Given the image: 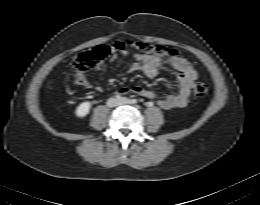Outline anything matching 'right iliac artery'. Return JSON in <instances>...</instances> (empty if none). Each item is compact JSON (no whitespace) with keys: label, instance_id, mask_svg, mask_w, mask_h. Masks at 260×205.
Returning <instances> with one entry per match:
<instances>
[{"label":"right iliac artery","instance_id":"1","mask_svg":"<svg viewBox=\"0 0 260 205\" xmlns=\"http://www.w3.org/2000/svg\"><path fill=\"white\" fill-rule=\"evenodd\" d=\"M115 97H116V99H118V100L121 99V96H119V95H116Z\"/></svg>","mask_w":260,"mask_h":205}]
</instances>
